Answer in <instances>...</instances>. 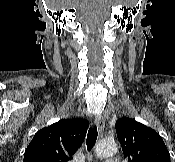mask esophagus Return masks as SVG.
Wrapping results in <instances>:
<instances>
[{
    "label": "esophagus",
    "instance_id": "34e87169",
    "mask_svg": "<svg viewBox=\"0 0 175 162\" xmlns=\"http://www.w3.org/2000/svg\"><path fill=\"white\" fill-rule=\"evenodd\" d=\"M95 123L98 127V130L100 133H102L104 131V128H105V120L104 118L101 116V115H97L95 117Z\"/></svg>",
    "mask_w": 175,
    "mask_h": 162
}]
</instances>
